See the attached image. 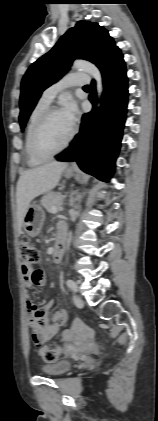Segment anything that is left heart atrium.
I'll use <instances>...</instances> for the list:
<instances>
[{"mask_svg":"<svg viewBox=\"0 0 158 421\" xmlns=\"http://www.w3.org/2000/svg\"><path fill=\"white\" fill-rule=\"evenodd\" d=\"M61 113L70 127L73 128L77 121V107L75 102L73 100L66 101L61 110Z\"/></svg>","mask_w":158,"mask_h":421,"instance_id":"left-heart-atrium-1","label":"left heart atrium"}]
</instances>
